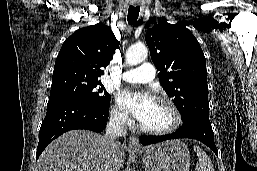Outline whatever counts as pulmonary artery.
<instances>
[{"instance_id":"pulmonary-artery-1","label":"pulmonary artery","mask_w":257,"mask_h":171,"mask_svg":"<svg viewBox=\"0 0 257 171\" xmlns=\"http://www.w3.org/2000/svg\"><path fill=\"white\" fill-rule=\"evenodd\" d=\"M156 76V69L149 62L142 63L138 68L126 71L122 80L128 83H148Z\"/></svg>"}]
</instances>
